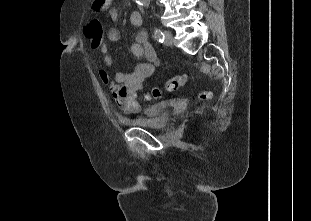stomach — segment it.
<instances>
[{
  "mask_svg": "<svg viewBox=\"0 0 311 221\" xmlns=\"http://www.w3.org/2000/svg\"><path fill=\"white\" fill-rule=\"evenodd\" d=\"M110 0H93V4H98V10H104L108 6Z\"/></svg>",
  "mask_w": 311,
  "mask_h": 221,
  "instance_id": "stomach-1",
  "label": "stomach"
}]
</instances>
